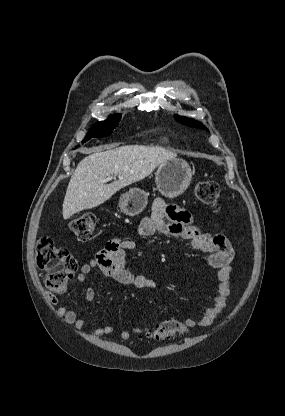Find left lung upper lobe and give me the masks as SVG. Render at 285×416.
I'll use <instances>...</instances> for the list:
<instances>
[{"label": "left lung upper lobe", "instance_id": "left-lung-upper-lobe-1", "mask_svg": "<svg viewBox=\"0 0 285 416\" xmlns=\"http://www.w3.org/2000/svg\"><path fill=\"white\" fill-rule=\"evenodd\" d=\"M175 119L178 122H180L182 124H185L187 126L196 127V128H200V129H205L206 131H208V129L202 123H200L198 121H195L194 119H189V118L181 117V116H178V115L175 116Z\"/></svg>", "mask_w": 285, "mask_h": 416}]
</instances>
